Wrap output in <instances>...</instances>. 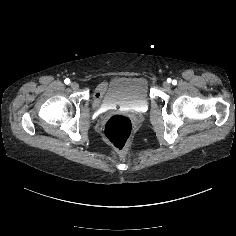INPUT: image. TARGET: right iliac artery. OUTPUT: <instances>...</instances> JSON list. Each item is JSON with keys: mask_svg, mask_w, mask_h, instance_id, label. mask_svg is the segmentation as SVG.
Here are the masks:
<instances>
[{"mask_svg": "<svg viewBox=\"0 0 236 236\" xmlns=\"http://www.w3.org/2000/svg\"><path fill=\"white\" fill-rule=\"evenodd\" d=\"M64 82H65V84H69L70 83V79H68V78H66L65 80H64Z\"/></svg>", "mask_w": 236, "mask_h": 236, "instance_id": "1", "label": "right iliac artery"}]
</instances>
